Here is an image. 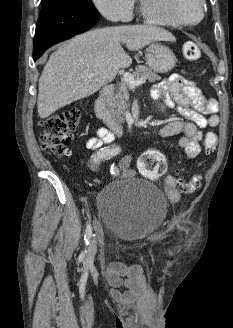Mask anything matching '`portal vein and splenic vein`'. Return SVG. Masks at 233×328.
Segmentation results:
<instances>
[{
	"mask_svg": "<svg viewBox=\"0 0 233 328\" xmlns=\"http://www.w3.org/2000/svg\"><path fill=\"white\" fill-rule=\"evenodd\" d=\"M145 80L146 79L144 77H141L139 79H134V77L129 73L123 74V81L127 85H129L131 89H134L135 87L142 85L145 82Z\"/></svg>",
	"mask_w": 233,
	"mask_h": 328,
	"instance_id": "obj_1",
	"label": "portal vein and splenic vein"
}]
</instances>
